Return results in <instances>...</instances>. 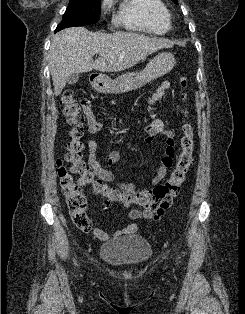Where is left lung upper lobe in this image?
Returning <instances> with one entry per match:
<instances>
[{
  "label": "left lung upper lobe",
  "instance_id": "left-lung-upper-lobe-1",
  "mask_svg": "<svg viewBox=\"0 0 245 314\" xmlns=\"http://www.w3.org/2000/svg\"><path fill=\"white\" fill-rule=\"evenodd\" d=\"M174 3L178 4V0H172Z\"/></svg>",
  "mask_w": 245,
  "mask_h": 314
}]
</instances>
